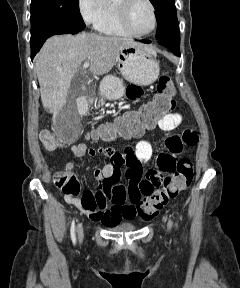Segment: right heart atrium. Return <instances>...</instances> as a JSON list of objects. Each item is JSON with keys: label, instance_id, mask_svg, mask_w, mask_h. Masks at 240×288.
<instances>
[{"label": "right heart atrium", "instance_id": "d8ad5b80", "mask_svg": "<svg viewBox=\"0 0 240 288\" xmlns=\"http://www.w3.org/2000/svg\"><path fill=\"white\" fill-rule=\"evenodd\" d=\"M78 8L88 24L99 27L110 12L109 0H78Z\"/></svg>", "mask_w": 240, "mask_h": 288}]
</instances>
